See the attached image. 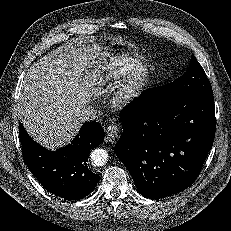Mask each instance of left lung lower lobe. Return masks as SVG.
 Wrapping results in <instances>:
<instances>
[{"instance_id":"left-lung-lower-lobe-1","label":"left lung lower lobe","mask_w":231,"mask_h":231,"mask_svg":"<svg viewBox=\"0 0 231 231\" xmlns=\"http://www.w3.org/2000/svg\"><path fill=\"white\" fill-rule=\"evenodd\" d=\"M143 93L121 110L118 158L144 197L159 199L188 188L212 148L213 94H194L156 104Z\"/></svg>"}]
</instances>
